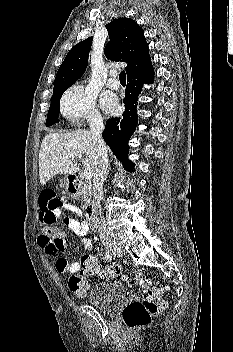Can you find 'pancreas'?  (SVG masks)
I'll return each mask as SVG.
<instances>
[{"mask_svg":"<svg viewBox=\"0 0 233 352\" xmlns=\"http://www.w3.org/2000/svg\"><path fill=\"white\" fill-rule=\"evenodd\" d=\"M89 197H88V195H87V193H83V198H82V207L83 208H86L87 206H88V204H89Z\"/></svg>","mask_w":233,"mask_h":352,"instance_id":"obj_1","label":"pancreas"}]
</instances>
